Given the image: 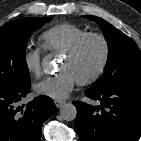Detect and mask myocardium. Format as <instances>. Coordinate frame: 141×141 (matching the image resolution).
<instances>
[{"mask_svg": "<svg viewBox=\"0 0 141 141\" xmlns=\"http://www.w3.org/2000/svg\"><path fill=\"white\" fill-rule=\"evenodd\" d=\"M97 39L102 44L103 54L97 68L87 77L77 80L78 84L86 86L95 83L104 73L110 58V44L107 37L99 32H87L81 36L64 54L70 59L76 58L87 41Z\"/></svg>", "mask_w": 141, "mask_h": 141, "instance_id": "myocardium-1", "label": "myocardium"}]
</instances>
